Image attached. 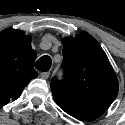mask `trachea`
<instances>
[{
  "label": "trachea",
  "mask_w": 125,
  "mask_h": 125,
  "mask_svg": "<svg viewBox=\"0 0 125 125\" xmlns=\"http://www.w3.org/2000/svg\"><path fill=\"white\" fill-rule=\"evenodd\" d=\"M51 64H52L51 57L48 55H44L37 60L36 69L45 72L50 69Z\"/></svg>",
  "instance_id": "trachea-1"
}]
</instances>
